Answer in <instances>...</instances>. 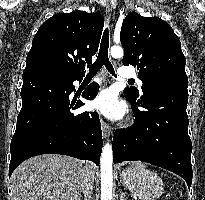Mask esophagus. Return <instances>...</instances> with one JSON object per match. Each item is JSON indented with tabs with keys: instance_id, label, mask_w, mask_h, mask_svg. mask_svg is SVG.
<instances>
[{
	"instance_id": "esophagus-1",
	"label": "esophagus",
	"mask_w": 205,
	"mask_h": 200,
	"mask_svg": "<svg viewBox=\"0 0 205 200\" xmlns=\"http://www.w3.org/2000/svg\"><path fill=\"white\" fill-rule=\"evenodd\" d=\"M106 13H107V16H108V19L110 20L111 16H112V7H111V4L110 3H107L106 4ZM101 129H102V132H103V137L104 138H107L108 136H110L111 134V128L110 126L104 121L101 119Z\"/></svg>"
}]
</instances>
